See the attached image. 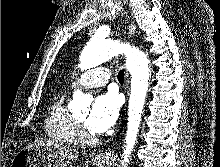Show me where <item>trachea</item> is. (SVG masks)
Returning <instances> with one entry per match:
<instances>
[{
    "mask_svg": "<svg viewBox=\"0 0 220 167\" xmlns=\"http://www.w3.org/2000/svg\"><path fill=\"white\" fill-rule=\"evenodd\" d=\"M124 76H125L124 70H120L119 73H118V76H117L118 81H119L120 83H124Z\"/></svg>",
    "mask_w": 220,
    "mask_h": 167,
    "instance_id": "1",
    "label": "trachea"
}]
</instances>
